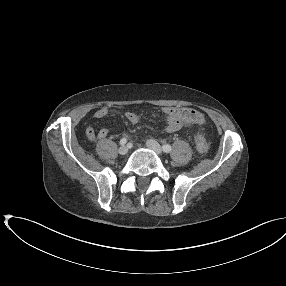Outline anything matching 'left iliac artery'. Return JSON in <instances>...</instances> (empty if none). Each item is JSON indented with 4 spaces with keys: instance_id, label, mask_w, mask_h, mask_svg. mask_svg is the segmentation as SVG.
<instances>
[{
    "instance_id": "1",
    "label": "left iliac artery",
    "mask_w": 286,
    "mask_h": 286,
    "mask_svg": "<svg viewBox=\"0 0 286 286\" xmlns=\"http://www.w3.org/2000/svg\"><path fill=\"white\" fill-rule=\"evenodd\" d=\"M162 149H163V151L166 152V153H169V152L172 150V148H171V146H170L169 144L163 145V146H162Z\"/></svg>"
}]
</instances>
